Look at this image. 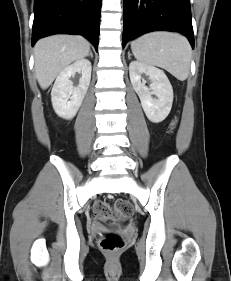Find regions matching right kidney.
Returning <instances> with one entry per match:
<instances>
[{"label": "right kidney", "instance_id": "1", "mask_svg": "<svg viewBox=\"0 0 231 281\" xmlns=\"http://www.w3.org/2000/svg\"><path fill=\"white\" fill-rule=\"evenodd\" d=\"M91 70V62L80 59L59 73L51 91L52 105L58 116L72 119L76 115L87 93ZM77 72L81 73V78L79 85L74 87L70 78L74 77Z\"/></svg>", "mask_w": 231, "mask_h": 281}]
</instances>
